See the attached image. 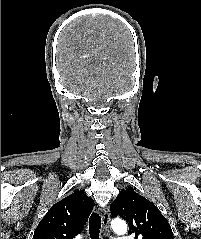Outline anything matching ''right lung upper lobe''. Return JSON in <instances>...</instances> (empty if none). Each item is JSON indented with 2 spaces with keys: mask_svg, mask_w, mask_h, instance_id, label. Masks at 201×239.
I'll return each instance as SVG.
<instances>
[{
  "mask_svg": "<svg viewBox=\"0 0 201 239\" xmlns=\"http://www.w3.org/2000/svg\"><path fill=\"white\" fill-rule=\"evenodd\" d=\"M94 201L75 191L53 205L38 224L33 239H73L83 229Z\"/></svg>",
  "mask_w": 201,
  "mask_h": 239,
  "instance_id": "1",
  "label": "right lung upper lobe"
}]
</instances>
